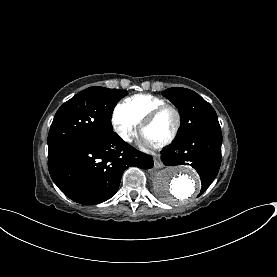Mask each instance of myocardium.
<instances>
[{"label":"myocardium","mask_w":277,"mask_h":277,"mask_svg":"<svg viewBox=\"0 0 277 277\" xmlns=\"http://www.w3.org/2000/svg\"><path fill=\"white\" fill-rule=\"evenodd\" d=\"M167 109H171L174 111V113L176 115V123H175L174 129L171 132V134L162 142L155 144L156 147H163V146L170 144L178 135L179 130L181 128V124H182V115H181L180 110L176 106H174L170 103L162 104V105L157 106V107L153 108L152 110H150L140 125V132L143 133L144 130L149 125H151L163 111H165Z\"/></svg>","instance_id":"f54148a6"}]
</instances>
